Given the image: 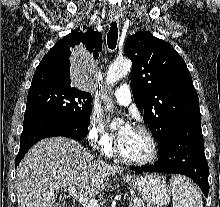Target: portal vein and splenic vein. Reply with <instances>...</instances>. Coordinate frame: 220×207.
Instances as JSON below:
<instances>
[{
    "label": "portal vein and splenic vein",
    "mask_w": 220,
    "mask_h": 207,
    "mask_svg": "<svg viewBox=\"0 0 220 207\" xmlns=\"http://www.w3.org/2000/svg\"><path fill=\"white\" fill-rule=\"evenodd\" d=\"M68 194L78 200L84 207H100L96 200L77 192L74 186H68Z\"/></svg>",
    "instance_id": "18ae733b"
}]
</instances>
